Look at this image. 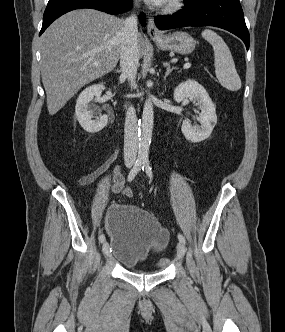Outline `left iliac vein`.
Segmentation results:
<instances>
[{
    "label": "left iliac vein",
    "instance_id": "obj_1",
    "mask_svg": "<svg viewBox=\"0 0 285 332\" xmlns=\"http://www.w3.org/2000/svg\"><path fill=\"white\" fill-rule=\"evenodd\" d=\"M186 252V248L183 243L179 242L177 244V256L179 259L183 258Z\"/></svg>",
    "mask_w": 285,
    "mask_h": 332
}]
</instances>
